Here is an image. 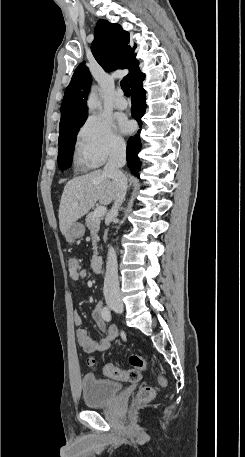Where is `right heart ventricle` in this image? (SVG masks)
Masks as SVG:
<instances>
[{
	"instance_id": "1",
	"label": "right heart ventricle",
	"mask_w": 245,
	"mask_h": 457,
	"mask_svg": "<svg viewBox=\"0 0 245 457\" xmlns=\"http://www.w3.org/2000/svg\"><path fill=\"white\" fill-rule=\"evenodd\" d=\"M78 154L83 161L87 164H91L89 157L85 154V152L81 149V147H77Z\"/></svg>"
}]
</instances>
